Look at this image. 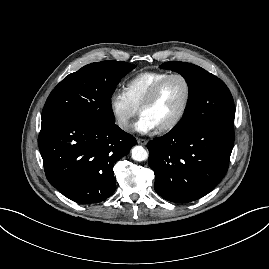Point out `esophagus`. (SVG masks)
<instances>
[{
  "label": "esophagus",
  "mask_w": 269,
  "mask_h": 269,
  "mask_svg": "<svg viewBox=\"0 0 269 269\" xmlns=\"http://www.w3.org/2000/svg\"><path fill=\"white\" fill-rule=\"evenodd\" d=\"M147 140L146 139H142V138H138L137 139V143L140 145H146L147 144Z\"/></svg>",
  "instance_id": "34e87169"
}]
</instances>
